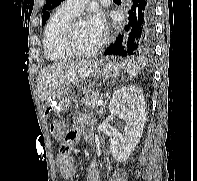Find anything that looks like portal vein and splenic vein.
Listing matches in <instances>:
<instances>
[{
    "label": "portal vein and splenic vein",
    "mask_w": 197,
    "mask_h": 181,
    "mask_svg": "<svg viewBox=\"0 0 197 181\" xmlns=\"http://www.w3.org/2000/svg\"><path fill=\"white\" fill-rule=\"evenodd\" d=\"M103 104H104V101L102 99L97 101V106H102Z\"/></svg>",
    "instance_id": "1"
}]
</instances>
